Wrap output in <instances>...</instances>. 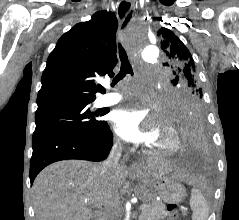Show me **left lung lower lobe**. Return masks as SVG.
<instances>
[{
    "label": "left lung lower lobe",
    "instance_id": "obj_1",
    "mask_svg": "<svg viewBox=\"0 0 239 220\" xmlns=\"http://www.w3.org/2000/svg\"><path fill=\"white\" fill-rule=\"evenodd\" d=\"M182 135L183 151L180 162L189 166H203L208 160L209 136L202 106L185 108L175 116Z\"/></svg>",
    "mask_w": 239,
    "mask_h": 220
}]
</instances>
